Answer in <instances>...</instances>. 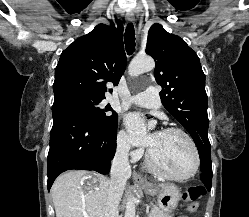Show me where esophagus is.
I'll return each instance as SVG.
<instances>
[{
  "instance_id": "esophagus-1",
  "label": "esophagus",
  "mask_w": 249,
  "mask_h": 217,
  "mask_svg": "<svg viewBox=\"0 0 249 217\" xmlns=\"http://www.w3.org/2000/svg\"><path fill=\"white\" fill-rule=\"evenodd\" d=\"M126 20L128 22H134L135 21L134 14H133L132 11L127 12ZM133 180H134L135 184L138 185V186H143V185L147 184L146 179L144 177H142L140 174L136 173V172L133 173Z\"/></svg>"
}]
</instances>
